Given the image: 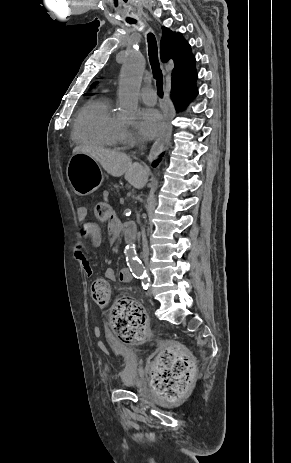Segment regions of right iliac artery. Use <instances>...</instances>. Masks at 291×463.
<instances>
[{"mask_svg": "<svg viewBox=\"0 0 291 463\" xmlns=\"http://www.w3.org/2000/svg\"><path fill=\"white\" fill-rule=\"evenodd\" d=\"M140 279H141V284H142L143 289L145 290L148 289L150 278L148 276H143V277H140Z\"/></svg>", "mask_w": 291, "mask_h": 463, "instance_id": "obj_1", "label": "right iliac artery"}]
</instances>
